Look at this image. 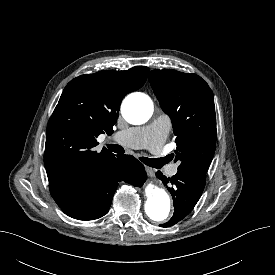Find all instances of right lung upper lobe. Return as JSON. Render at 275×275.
<instances>
[{
    "instance_id": "obj_1",
    "label": "right lung upper lobe",
    "mask_w": 275,
    "mask_h": 275,
    "mask_svg": "<svg viewBox=\"0 0 275 275\" xmlns=\"http://www.w3.org/2000/svg\"><path fill=\"white\" fill-rule=\"evenodd\" d=\"M148 72L146 66L99 71L66 85L47 125L45 144L49 189L57 204L65 202L84 177L114 157L106 148L94 151L96 138L113 132L122 99L144 85Z\"/></svg>"
}]
</instances>
